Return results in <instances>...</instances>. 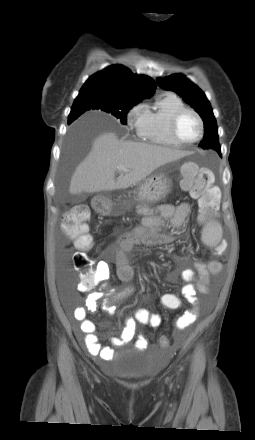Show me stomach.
<instances>
[{
  "label": "stomach",
  "instance_id": "1",
  "mask_svg": "<svg viewBox=\"0 0 255 440\" xmlns=\"http://www.w3.org/2000/svg\"><path fill=\"white\" fill-rule=\"evenodd\" d=\"M171 181L164 173H157L144 179L136 192V201L139 203H154L166 197L170 191ZM130 205L126 203H114L109 199L103 198L99 205V211L103 213H111L114 215H122L129 211Z\"/></svg>",
  "mask_w": 255,
  "mask_h": 440
}]
</instances>
